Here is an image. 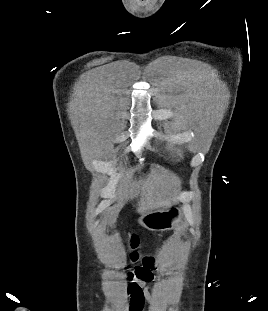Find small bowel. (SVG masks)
I'll return each instance as SVG.
<instances>
[{"instance_id":"1","label":"small bowel","mask_w":268,"mask_h":311,"mask_svg":"<svg viewBox=\"0 0 268 311\" xmlns=\"http://www.w3.org/2000/svg\"><path fill=\"white\" fill-rule=\"evenodd\" d=\"M127 293L130 297L129 311H142L145 303L156 310L162 307L161 301L154 296L153 288L145 280L130 283Z\"/></svg>"}]
</instances>
